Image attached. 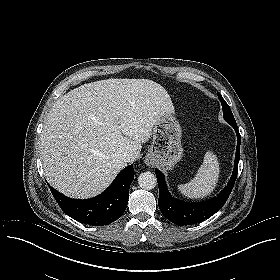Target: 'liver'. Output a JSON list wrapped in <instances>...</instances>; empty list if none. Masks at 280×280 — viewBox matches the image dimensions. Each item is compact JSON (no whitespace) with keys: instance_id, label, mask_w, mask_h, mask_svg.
Here are the masks:
<instances>
[{"instance_id":"1","label":"liver","mask_w":280,"mask_h":280,"mask_svg":"<svg viewBox=\"0 0 280 280\" xmlns=\"http://www.w3.org/2000/svg\"><path fill=\"white\" fill-rule=\"evenodd\" d=\"M174 113L167 91L149 79H107L81 85L56 100L40 137L44 174L72 198L103 192L134 161L158 120Z\"/></svg>"}]
</instances>
